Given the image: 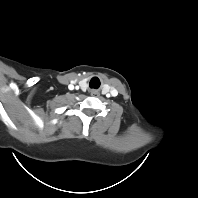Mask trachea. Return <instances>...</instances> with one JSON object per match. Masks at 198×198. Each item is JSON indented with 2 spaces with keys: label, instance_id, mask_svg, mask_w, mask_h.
Returning <instances> with one entry per match:
<instances>
[{
  "label": "trachea",
  "instance_id": "1",
  "mask_svg": "<svg viewBox=\"0 0 198 198\" xmlns=\"http://www.w3.org/2000/svg\"><path fill=\"white\" fill-rule=\"evenodd\" d=\"M90 88L98 89L100 87V80L97 77H93L89 83Z\"/></svg>",
  "mask_w": 198,
  "mask_h": 198
}]
</instances>
